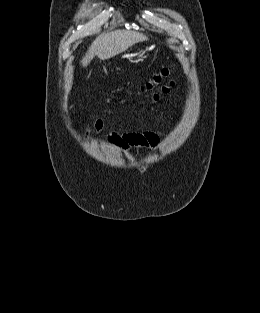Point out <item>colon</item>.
Returning <instances> with one entry per match:
<instances>
[{"label":"colon","instance_id":"colon-1","mask_svg":"<svg viewBox=\"0 0 260 313\" xmlns=\"http://www.w3.org/2000/svg\"><path fill=\"white\" fill-rule=\"evenodd\" d=\"M169 77L170 69L163 68L141 86V91L150 92L153 94V97L157 99L160 95L167 93L173 85V81L170 80Z\"/></svg>","mask_w":260,"mask_h":313}]
</instances>
